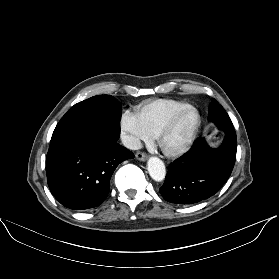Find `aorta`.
Listing matches in <instances>:
<instances>
[{"mask_svg":"<svg viewBox=\"0 0 279 279\" xmlns=\"http://www.w3.org/2000/svg\"><path fill=\"white\" fill-rule=\"evenodd\" d=\"M147 168L151 178L157 182L164 180L166 169L163 161L157 157H150L147 162Z\"/></svg>","mask_w":279,"mask_h":279,"instance_id":"1","label":"aorta"}]
</instances>
